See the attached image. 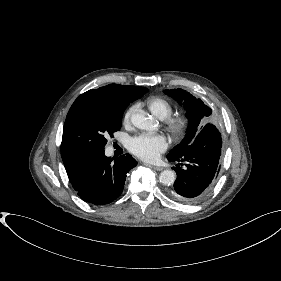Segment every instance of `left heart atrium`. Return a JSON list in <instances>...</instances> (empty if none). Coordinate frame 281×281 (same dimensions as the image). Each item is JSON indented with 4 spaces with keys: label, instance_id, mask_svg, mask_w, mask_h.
Masks as SVG:
<instances>
[{
    "label": "left heart atrium",
    "instance_id": "obj_1",
    "mask_svg": "<svg viewBox=\"0 0 281 281\" xmlns=\"http://www.w3.org/2000/svg\"><path fill=\"white\" fill-rule=\"evenodd\" d=\"M128 147L140 159L154 162L165 152L168 143L162 135L140 134L130 138Z\"/></svg>",
    "mask_w": 281,
    "mask_h": 281
}]
</instances>
